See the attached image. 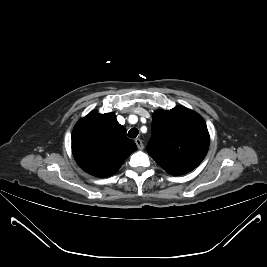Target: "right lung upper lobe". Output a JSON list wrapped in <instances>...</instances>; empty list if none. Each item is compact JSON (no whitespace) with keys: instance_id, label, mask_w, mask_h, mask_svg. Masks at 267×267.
<instances>
[{"instance_id":"obj_1","label":"right lung upper lobe","mask_w":267,"mask_h":267,"mask_svg":"<svg viewBox=\"0 0 267 267\" xmlns=\"http://www.w3.org/2000/svg\"><path fill=\"white\" fill-rule=\"evenodd\" d=\"M136 149L113 113L91 112L76 123L72 132V152L77 164L96 177L116 173Z\"/></svg>"}]
</instances>
